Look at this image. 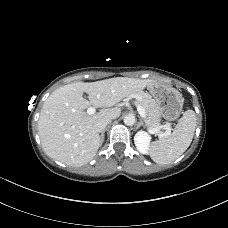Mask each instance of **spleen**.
Returning a JSON list of instances; mask_svg holds the SVG:
<instances>
[{"label":"spleen","mask_w":228,"mask_h":228,"mask_svg":"<svg viewBox=\"0 0 228 228\" xmlns=\"http://www.w3.org/2000/svg\"><path fill=\"white\" fill-rule=\"evenodd\" d=\"M196 127V115L187 110L180 118L174 131L150 146V157L160 165L169 164L179 158L190 146Z\"/></svg>","instance_id":"obj_1"}]
</instances>
